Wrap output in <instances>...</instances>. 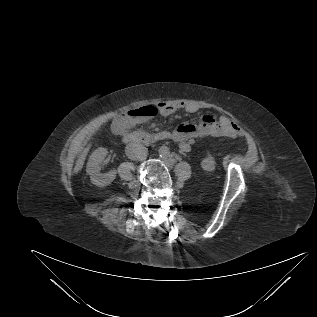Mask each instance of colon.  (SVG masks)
<instances>
[{
	"instance_id": "obj_1",
	"label": "colon",
	"mask_w": 317,
	"mask_h": 317,
	"mask_svg": "<svg viewBox=\"0 0 317 317\" xmlns=\"http://www.w3.org/2000/svg\"><path fill=\"white\" fill-rule=\"evenodd\" d=\"M158 113L159 107L157 105L148 104L130 109L127 112V115H129L131 118L135 120H142L155 117Z\"/></svg>"
}]
</instances>
